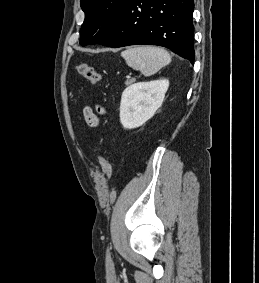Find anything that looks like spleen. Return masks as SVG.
Instances as JSON below:
<instances>
[{"label": "spleen", "mask_w": 259, "mask_h": 283, "mask_svg": "<svg viewBox=\"0 0 259 283\" xmlns=\"http://www.w3.org/2000/svg\"><path fill=\"white\" fill-rule=\"evenodd\" d=\"M127 65L139 70L148 77L157 73L171 62L170 54L163 48L155 46H134L121 52Z\"/></svg>", "instance_id": "obj_1"}]
</instances>
